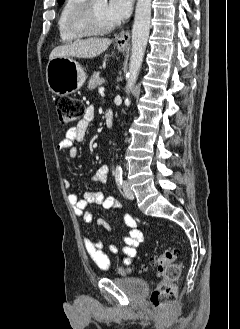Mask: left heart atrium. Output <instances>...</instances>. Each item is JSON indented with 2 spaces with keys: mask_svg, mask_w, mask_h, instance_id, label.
<instances>
[{
  "mask_svg": "<svg viewBox=\"0 0 240 329\" xmlns=\"http://www.w3.org/2000/svg\"><path fill=\"white\" fill-rule=\"evenodd\" d=\"M132 9V0H109L106 6V15L113 22L126 19Z\"/></svg>",
  "mask_w": 240,
  "mask_h": 329,
  "instance_id": "obj_1",
  "label": "left heart atrium"
}]
</instances>
